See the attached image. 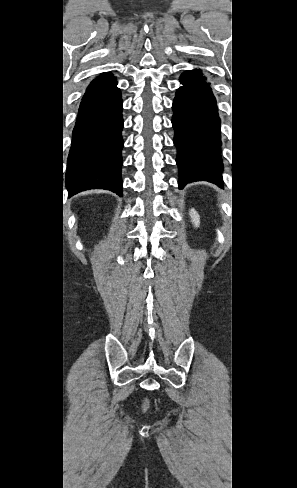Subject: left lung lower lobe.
Here are the masks:
<instances>
[{"label": "left lung lower lobe", "instance_id": "1", "mask_svg": "<svg viewBox=\"0 0 297 488\" xmlns=\"http://www.w3.org/2000/svg\"><path fill=\"white\" fill-rule=\"evenodd\" d=\"M180 82L183 86L177 90L172 106L179 187L195 181H208L222 187L216 99L205 79L191 71L182 73Z\"/></svg>", "mask_w": 297, "mask_h": 488}]
</instances>
